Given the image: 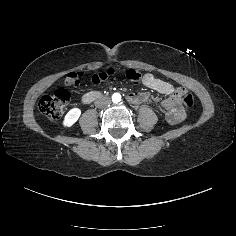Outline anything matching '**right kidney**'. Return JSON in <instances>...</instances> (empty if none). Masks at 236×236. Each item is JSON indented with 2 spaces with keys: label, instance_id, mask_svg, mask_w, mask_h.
<instances>
[{
  "label": "right kidney",
  "instance_id": "obj_1",
  "mask_svg": "<svg viewBox=\"0 0 236 236\" xmlns=\"http://www.w3.org/2000/svg\"><path fill=\"white\" fill-rule=\"evenodd\" d=\"M82 110L78 107L70 109L64 116L62 120L63 128H71L80 118Z\"/></svg>",
  "mask_w": 236,
  "mask_h": 236
}]
</instances>
